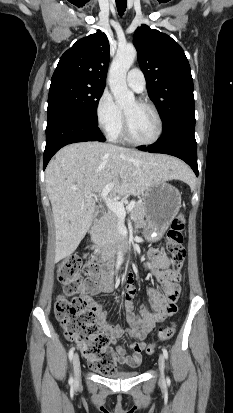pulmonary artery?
<instances>
[{
    "mask_svg": "<svg viewBox=\"0 0 233 413\" xmlns=\"http://www.w3.org/2000/svg\"><path fill=\"white\" fill-rule=\"evenodd\" d=\"M128 86L135 92H142L146 86V80L143 72L138 68L131 69L126 77Z\"/></svg>",
    "mask_w": 233,
    "mask_h": 413,
    "instance_id": "obj_1",
    "label": "pulmonary artery"
}]
</instances>
